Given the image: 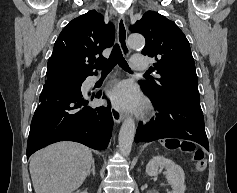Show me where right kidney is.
<instances>
[{"label":"right kidney","instance_id":"obj_1","mask_svg":"<svg viewBox=\"0 0 237 193\" xmlns=\"http://www.w3.org/2000/svg\"><path fill=\"white\" fill-rule=\"evenodd\" d=\"M75 193H88L86 190L82 191V192H75Z\"/></svg>","mask_w":237,"mask_h":193}]
</instances>
